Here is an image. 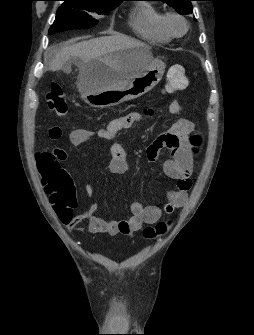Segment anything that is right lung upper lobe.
I'll return each mask as SVG.
<instances>
[{
	"label": "right lung upper lobe",
	"instance_id": "cb5924a9",
	"mask_svg": "<svg viewBox=\"0 0 254 335\" xmlns=\"http://www.w3.org/2000/svg\"><path fill=\"white\" fill-rule=\"evenodd\" d=\"M88 1H98V2H106V3H121L124 0H88Z\"/></svg>",
	"mask_w": 254,
	"mask_h": 335
}]
</instances>
